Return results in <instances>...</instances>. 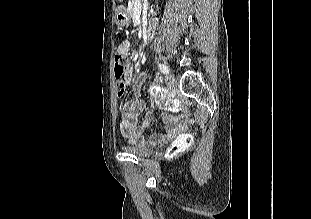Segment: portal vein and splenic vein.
Listing matches in <instances>:
<instances>
[{
  "mask_svg": "<svg viewBox=\"0 0 311 219\" xmlns=\"http://www.w3.org/2000/svg\"><path fill=\"white\" fill-rule=\"evenodd\" d=\"M135 8H138V9L141 8V0H136L135 1Z\"/></svg>",
  "mask_w": 311,
  "mask_h": 219,
  "instance_id": "obj_1",
  "label": "portal vein and splenic vein"
}]
</instances>
